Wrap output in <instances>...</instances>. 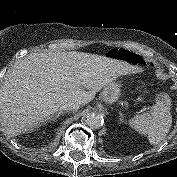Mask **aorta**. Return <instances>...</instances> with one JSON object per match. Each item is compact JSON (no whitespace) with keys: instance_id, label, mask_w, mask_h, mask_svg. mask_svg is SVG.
<instances>
[{"instance_id":"aorta-1","label":"aorta","mask_w":177,"mask_h":177,"mask_svg":"<svg viewBox=\"0 0 177 177\" xmlns=\"http://www.w3.org/2000/svg\"><path fill=\"white\" fill-rule=\"evenodd\" d=\"M85 123L92 129H98L103 125L104 120L101 116L91 113L86 116Z\"/></svg>"}]
</instances>
